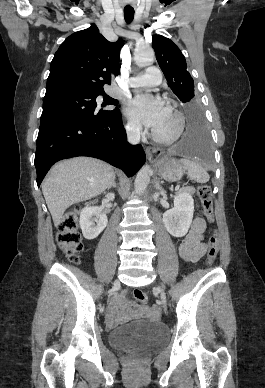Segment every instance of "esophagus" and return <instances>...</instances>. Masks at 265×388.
Wrapping results in <instances>:
<instances>
[{
  "label": "esophagus",
  "mask_w": 265,
  "mask_h": 388,
  "mask_svg": "<svg viewBox=\"0 0 265 388\" xmlns=\"http://www.w3.org/2000/svg\"><path fill=\"white\" fill-rule=\"evenodd\" d=\"M162 154V149L158 147H147L146 155L149 161H153L155 158H158Z\"/></svg>",
  "instance_id": "1"
}]
</instances>
